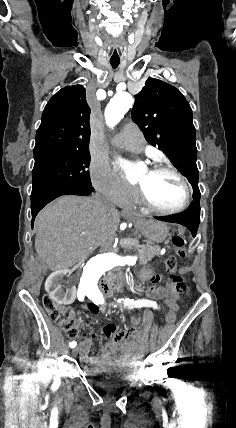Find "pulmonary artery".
Returning <instances> with one entry per match:
<instances>
[{"label":"pulmonary artery","mask_w":236,"mask_h":428,"mask_svg":"<svg viewBox=\"0 0 236 428\" xmlns=\"http://www.w3.org/2000/svg\"><path fill=\"white\" fill-rule=\"evenodd\" d=\"M118 147L126 149V150H130V151H134L136 149H143L144 146L142 145H137L133 142H121L117 144Z\"/></svg>","instance_id":"obj_1"}]
</instances>
